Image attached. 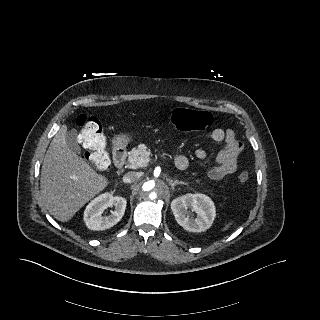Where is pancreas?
Returning <instances> with one entry per match:
<instances>
[{"label":"pancreas","instance_id":"cf45deb5","mask_svg":"<svg viewBox=\"0 0 320 320\" xmlns=\"http://www.w3.org/2000/svg\"><path fill=\"white\" fill-rule=\"evenodd\" d=\"M128 155V167L136 169L144 167L147 164V162H142V159H148L151 156V152L145 144H140L137 148H133Z\"/></svg>","mask_w":320,"mask_h":320}]
</instances>
